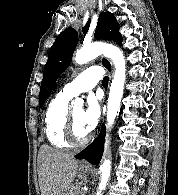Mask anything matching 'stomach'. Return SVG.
Segmentation results:
<instances>
[{"label": "stomach", "mask_w": 178, "mask_h": 195, "mask_svg": "<svg viewBox=\"0 0 178 195\" xmlns=\"http://www.w3.org/2000/svg\"><path fill=\"white\" fill-rule=\"evenodd\" d=\"M89 173H90V170L84 169V168H80V169H79V173H78V178H80V179H85L86 176H87ZM80 192H82V191H81V189H80L78 183H76V184H73V185L71 186V188L69 189L67 195H79Z\"/></svg>", "instance_id": "0dacf381"}]
</instances>
